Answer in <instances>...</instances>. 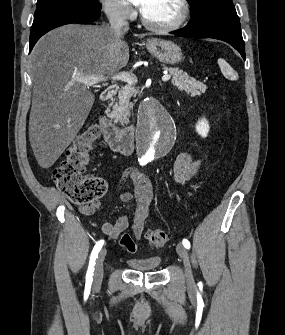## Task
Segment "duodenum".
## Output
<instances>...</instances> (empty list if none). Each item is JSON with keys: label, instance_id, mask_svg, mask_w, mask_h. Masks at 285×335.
Listing matches in <instances>:
<instances>
[{"label": "duodenum", "instance_id": "duodenum-1", "mask_svg": "<svg viewBox=\"0 0 285 335\" xmlns=\"http://www.w3.org/2000/svg\"><path fill=\"white\" fill-rule=\"evenodd\" d=\"M118 85H111L102 94L103 103H109L116 95ZM99 127L103 138L110 148L119 154L129 155L133 152L135 130L133 126L121 127L111 118L109 110L99 117Z\"/></svg>", "mask_w": 285, "mask_h": 335}]
</instances>
